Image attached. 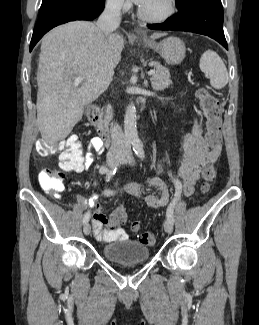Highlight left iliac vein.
Listing matches in <instances>:
<instances>
[{
  "mask_svg": "<svg viewBox=\"0 0 259 325\" xmlns=\"http://www.w3.org/2000/svg\"><path fill=\"white\" fill-rule=\"evenodd\" d=\"M121 162L123 163H126V164H129V165H133L134 164V158L131 154H129L128 156H123L121 159H120ZM164 230L170 234L172 233L173 231V223L169 220V219H166L165 222H164Z\"/></svg>",
  "mask_w": 259,
  "mask_h": 325,
  "instance_id": "4c4485c4",
  "label": "left iliac vein"
}]
</instances>
